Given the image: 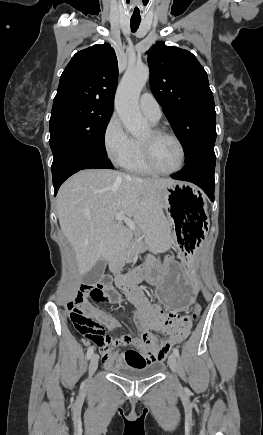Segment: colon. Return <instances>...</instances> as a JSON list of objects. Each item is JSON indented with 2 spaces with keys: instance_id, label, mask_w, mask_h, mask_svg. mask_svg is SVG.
<instances>
[{
  "instance_id": "5ec220e1",
  "label": "colon",
  "mask_w": 263,
  "mask_h": 435,
  "mask_svg": "<svg viewBox=\"0 0 263 435\" xmlns=\"http://www.w3.org/2000/svg\"><path fill=\"white\" fill-rule=\"evenodd\" d=\"M82 291L89 299L96 302H112L117 297L111 290L110 278L107 276L103 277L96 285L82 286ZM68 309L76 330L89 341L94 342L96 350H144L145 348L162 350L165 347V344L156 338V335L148 328H140L138 331L135 328H128L125 333L112 341L109 336L105 335L106 326L99 316L88 312L85 308L76 306L72 302L69 303ZM201 310L200 304H195L190 314L180 318V321L194 323L198 320ZM188 334L189 330H185L184 335H181L176 343L185 339Z\"/></svg>"
}]
</instances>
